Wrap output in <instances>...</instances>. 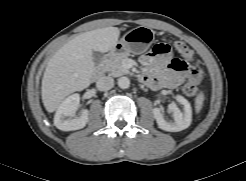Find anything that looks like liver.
<instances>
[{
    "label": "liver",
    "mask_w": 246,
    "mask_h": 181,
    "mask_svg": "<svg viewBox=\"0 0 246 181\" xmlns=\"http://www.w3.org/2000/svg\"><path fill=\"white\" fill-rule=\"evenodd\" d=\"M119 35L117 27L91 30L68 41L52 56L41 86L42 102L49 113L54 112L69 94L90 85L95 71L92 52L111 51Z\"/></svg>",
    "instance_id": "1"
}]
</instances>
